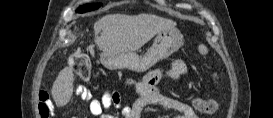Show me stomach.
Returning <instances> with one entry per match:
<instances>
[{
  "label": "stomach",
  "instance_id": "1",
  "mask_svg": "<svg viewBox=\"0 0 273 118\" xmlns=\"http://www.w3.org/2000/svg\"><path fill=\"white\" fill-rule=\"evenodd\" d=\"M183 44V36L176 27H170L157 33L153 45L143 56L135 52L119 54L102 53V64L110 69H129L135 72H144L157 62L168 58Z\"/></svg>",
  "mask_w": 273,
  "mask_h": 118
}]
</instances>
